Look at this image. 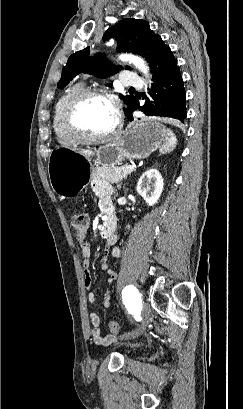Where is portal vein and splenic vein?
Here are the masks:
<instances>
[{"label":"portal vein and splenic vein","mask_w":243,"mask_h":409,"mask_svg":"<svg viewBox=\"0 0 243 409\" xmlns=\"http://www.w3.org/2000/svg\"><path fill=\"white\" fill-rule=\"evenodd\" d=\"M125 169L134 170V169H135V166H133V165H126V166H125Z\"/></svg>","instance_id":"portal-vein-and-splenic-vein-1"}]
</instances>
